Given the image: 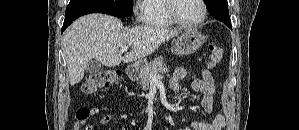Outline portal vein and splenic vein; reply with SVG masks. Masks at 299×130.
Here are the masks:
<instances>
[{"mask_svg":"<svg viewBox=\"0 0 299 130\" xmlns=\"http://www.w3.org/2000/svg\"><path fill=\"white\" fill-rule=\"evenodd\" d=\"M128 46H123L120 49V52H126L128 50ZM163 77L161 75H151L150 79L152 82H158L159 80H161Z\"/></svg>","mask_w":299,"mask_h":130,"instance_id":"portal-vein-and-splenic-vein-1","label":"portal vein and splenic vein"}]
</instances>
